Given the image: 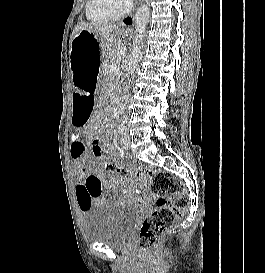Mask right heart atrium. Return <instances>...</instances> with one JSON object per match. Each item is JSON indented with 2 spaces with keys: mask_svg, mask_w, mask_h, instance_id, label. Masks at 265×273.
Masks as SVG:
<instances>
[{
  "mask_svg": "<svg viewBox=\"0 0 265 273\" xmlns=\"http://www.w3.org/2000/svg\"><path fill=\"white\" fill-rule=\"evenodd\" d=\"M111 2L117 9H124L126 8L129 0H111Z\"/></svg>",
  "mask_w": 265,
  "mask_h": 273,
  "instance_id": "d8ad5b80",
  "label": "right heart atrium"
}]
</instances>
